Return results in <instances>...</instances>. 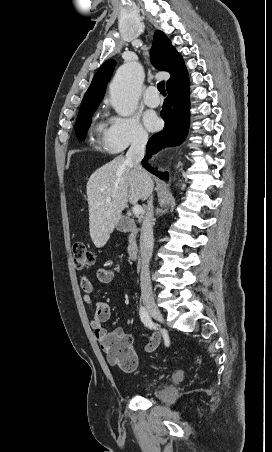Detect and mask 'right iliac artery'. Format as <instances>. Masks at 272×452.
<instances>
[{"label":"right iliac artery","mask_w":272,"mask_h":452,"mask_svg":"<svg viewBox=\"0 0 272 452\" xmlns=\"http://www.w3.org/2000/svg\"><path fill=\"white\" fill-rule=\"evenodd\" d=\"M140 318L144 325L150 329H156L155 323L152 321L149 313L144 307L140 308Z\"/></svg>","instance_id":"right-iliac-artery-1"}]
</instances>
